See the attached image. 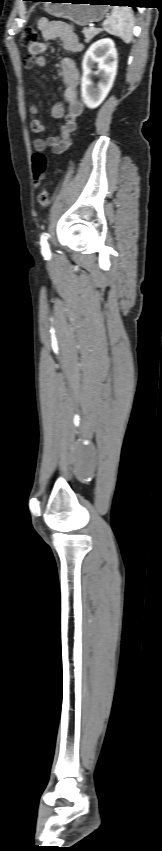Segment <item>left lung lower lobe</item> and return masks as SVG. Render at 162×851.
Segmentation results:
<instances>
[{"label":"left lung lower lobe","instance_id":"1","mask_svg":"<svg viewBox=\"0 0 162 851\" xmlns=\"http://www.w3.org/2000/svg\"><path fill=\"white\" fill-rule=\"evenodd\" d=\"M33 1H43V0H33ZM110 5H123V6H131L135 2L133 0H107Z\"/></svg>","mask_w":162,"mask_h":851}]
</instances>
